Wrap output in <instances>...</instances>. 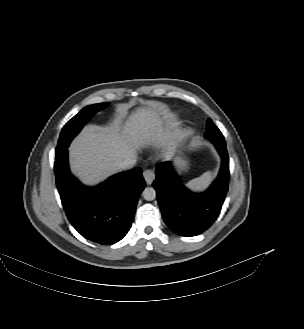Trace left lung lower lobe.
Masks as SVG:
<instances>
[{"mask_svg": "<svg viewBox=\"0 0 304 329\" xmlns=\"http://www.w3.org/2000/svg\"><path fill=\"white\" fill-rule=\"evenodd\" d=\"M205 138L212 141L222 158L217 179L209 189L200 194L190 192L181 184L171 163L156 167L153 187L167 226L182 236H196L208 229L218 217L229 184V158L224 137L213 124Z\"/></svg>", "mask_w": 304, "mask_h": 329, "instance_id": "obj_1", "label": "left lung lower lobe"}]
</instances>
